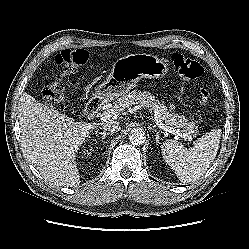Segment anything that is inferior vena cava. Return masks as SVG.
I'll list each match as a JSON object with an SVG mask.
<instances>
[{
  "instance_id": "obj_1",
  "label": "inferior vena cava",
  "mask_w": 249,
  "mask_h": 249,
  "mask_svg": "<svg viewBox=\"0 0 249 249\" xmlns=\"http://www.w3.org/2000/svg\"><path fill=\"white\" fill-rule=\"evenodd\" d=\"M100 128L110 133L118 132L121 129L117 121L101 123Z\"/></svg>"
}]
</instances>
